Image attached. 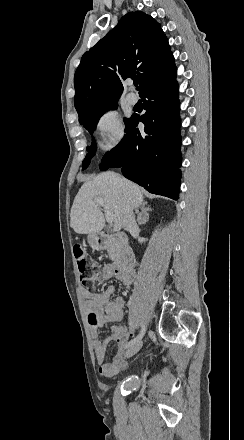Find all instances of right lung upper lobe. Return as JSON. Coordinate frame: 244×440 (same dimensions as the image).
<instances>
[{
	"mask_svg": "<svg viewBox=\"0 0 244 440\" xmlns=\"http://www.w3.org/2000/svg\"><path fill=\"white\" fill-rule=\"evenodd\" d=\"M174 62L168 40L151 16L129 12L94 47L85 52L75 77V108L85 110L119 99L122 80L143 83L156 71Z\"/></svg>",
	"mask_w": 244,
	"mask_h": 440,
	"instance_id": "obj_1",
	"label": "right lung upper lobe"
}]
</instances>
